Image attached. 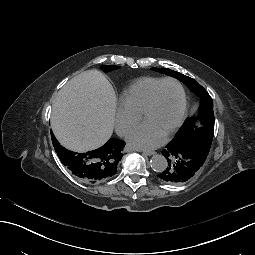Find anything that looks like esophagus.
I'll list each match as a JSON object with an SVG mask.
<instances>
[{
	"instance_id": "obj_1",
	"label": "esophagus",
	"mask_w": 255,
	"mask_h": 255,
	"mask_svg": "<svg viewBox=\"0 0 255 255\" xmlns=\"http://www.w3.org/2000/svg\"><path fill=\"white\" fill-rule=\"evenodd\" d=\"M143 153L147 156H151V155L155 154V152H153V151H144Z\"/></svg>"
}]
</instances>
